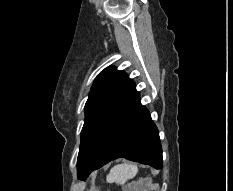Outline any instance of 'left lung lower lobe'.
Masks as SVG:
<instances>
[{
    "label": "left lung lower lobe",
    "mask_w": 233,
    "mask_h": 191,
    "mask_svg": "<svg viewBox=\"0 0 233 191\" xmlns=\"http://www.w3.org/2000/svg\"><path fill=\"white\" fill-rule=\"evenodd\" d=\"M117 158H126L156 169L163 163L158 129L149 111L141 105L136 89L95 142L78 171V178L86 179L92 171Z\"/></svg>",
    "instance_id": "1"
}]
</instances>
